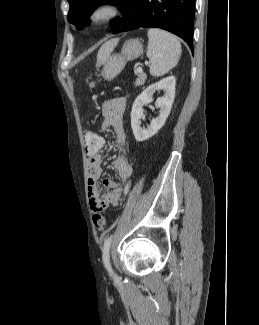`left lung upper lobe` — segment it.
Wrapping results in <instances>:
<instances>
[{
	"instance_id": "5c2ea615",
	"label": "left lung upper lobe",
	"mask_w": 259,
	"mask_h": 325,
	"mask_svg": "<svg viewBox=\"0 0 259 325\" xmlns=\"http://www.w3.org/2000/svg\"><path fill=\"white\" fill-rule=\"evenodd\" d=\"M70 9L68 13V22L77 26L78 29L83 28V22L93 13V11L101 4H112L122 8L125 11L128 0H68ZM119 20L111 22L112 30ZM87 25V23H85Z\"/></svg>"
}]
</instances>
